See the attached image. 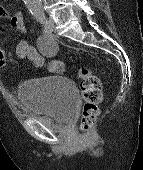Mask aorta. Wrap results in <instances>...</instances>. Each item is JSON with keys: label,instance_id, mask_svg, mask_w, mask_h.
Masks as SVG:
<instances>
[{"label": "aorta", "instance_id": "1", "mask_svg": "<svg viewBox=\"0 0 143 170\" xmlns=\"http://www.w3.org/2000/svg\"><path fill=\"white\" fill-rule=\"evenodd\" d=\"M27 9L35 17H39L43 14L42 0H24Z\"/></svg>", "mask_w": 143, "mask_h": 170}]
</instances>
